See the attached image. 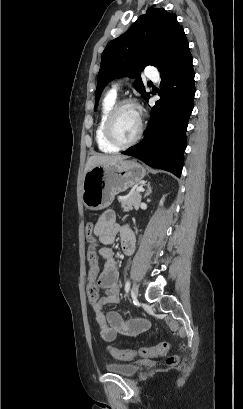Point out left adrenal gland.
<instances>
[{
  "label": "left adrenal gland",
  "instance_id": "1",
  "mask_svg": "<svg viewBox=\"0 0 243 409\" xmlns=\"http://www.w3.org/2000/svg\"><path fill=\"white\" fill-rule=\"evenodd\" d=\"M151 193H152V187H151V185H150V182H148V184H147V190H146V193H145L144 197L146 198V197L149 196Z\"/></svg>",
  "mask_w": 243,
  "mask_h": 409
}]
</instances>
